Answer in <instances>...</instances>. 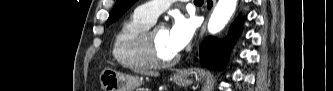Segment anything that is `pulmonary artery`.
<instances>
[{"mask_svg": "<svg viewBox=\"0 0 333 91\" xmlns=\"http://www.w3.org/2000/svg\"><path fill=\"white\" fill-rule=\"evenodd\" d=\"M169 1H150L137 8V11L151 21H156L158 16L169 7Z\"/></svg>", "mask_w": 333, "mask_h": 91, "instance_id": "e3ab8cb5", "label": "pulmonary artery"}]
</instances>
